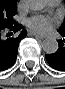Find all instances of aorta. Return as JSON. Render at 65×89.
Returning <instances> with one entry per match:
<instances>
[{
	"instance_id": "aorta-1",
	"label": "aorta",
	"mask_w": 65,
	"mask_h": 89,
	"mask_svg": "<svg viewBox=\"0 0 65 89\" xmlns=\"http://www.w3.org/2000/svg\"><path fill=\"white\" fill-rule=\"evenodd\" d=\"M46 7V1L45 0H30L29 1V8L32 11H42ZM59 48L58 42L55 38H46L42 43V49L47 54H54L57 52Z\"/></svg>"
}]
</instances>
